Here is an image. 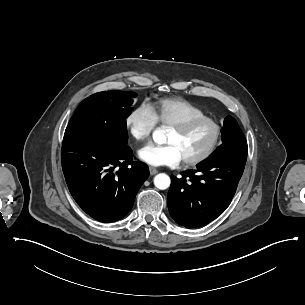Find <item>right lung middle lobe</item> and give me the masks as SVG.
<instances>
[{
    "label": "right lung middle lobe",
    "instance_id": "1",
    "mask_svg": "<svg viewBox=\"0 0 305 305\" xmlns=\"http://www.w3.org/2000/svg\"><path fill=\"white\" fill-rule=\"evenodd\" d=\"M134 92L95 93L75 110L64 134L63 145L85 142L103 147L127 145L126 118L133 108Z\"/></svg>",
    "mask_w": 305,
    "mask_h": 305
}]
</instances>
